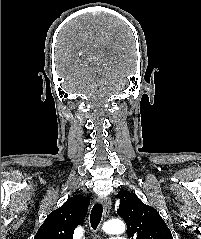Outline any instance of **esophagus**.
<instances>
[{
	"label": "esophagus",
	"instance_id": "34e87169",
	"mask_svg": "<svg viewBox=\"0 0 201 239\" xmlns=\"http://www.w3.org/2000/svg\"><path fill=\"white\" fill-rule=\"evenodd\" d=\"M98 202L104 207V216L107 217L110 213L112 201L109 197L98 198Z\"/></svg>",
	"mask_w": 201,
	"mask_h": 239
}]
</instances>
